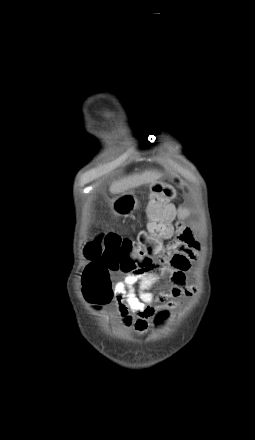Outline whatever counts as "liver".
<instances>
[{
    "label": "liver",
    "instance_id": "1",
    "mask_svg": "<svg viewBox=\"0 0 255 440\" xmlns=\"http://www.w3.org/2000/svg\"><path fill=\"white\" fill-rule=\"evenodd\" d=\"M161 176L162 174L157 171H145L141 174L131 175L119 181L113 182L109 188V191L112 194L124 193L131 188L156 182Z\"/></svg>",
    "mask_w": 255,
    "mask_h": 440
}]
</instances>
